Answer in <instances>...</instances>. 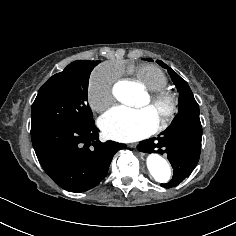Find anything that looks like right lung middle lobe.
<instances>
[{
	"instance_id": "1",
	"label": "right lung middle lobe",
	"mask_w": 236,
	"mask_h": 236,
	"mask_svg": "<svg viewBox=\"0 0 236 236\" xmlns=\"http://www.w3.org/2000/svg\"><path fill=\"white\" fill-rule=\"evenodd\" d=\"M99 61H74L53 75L32 105L31 130L58 123L82 124L92 120L87 101L88 81Z\"/></svg>"
}]
</instances>
